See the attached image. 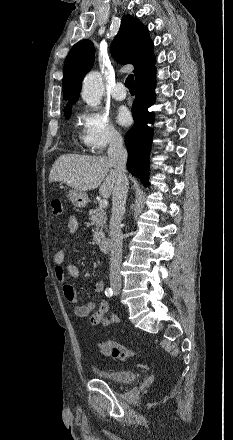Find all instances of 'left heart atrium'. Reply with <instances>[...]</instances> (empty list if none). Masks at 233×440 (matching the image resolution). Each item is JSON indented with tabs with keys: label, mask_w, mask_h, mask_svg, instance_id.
<instances>
[{
	"label": "left heart atrium",
	"mask_w": 233,
	"mask_h": 440,
	"mask_svg": "<svg viewBox=\"0 0 233 440\" xmlns=\"http://www.w3.org/2000/svg\"><path fill=\"white\" fill-rule=\"evenodd\" d=\"M117 122L122 126H127L131 122V115L127 108L120 107L116 114Z\"/></svg>",
	"instance_id": "1"
}]
</instances>
